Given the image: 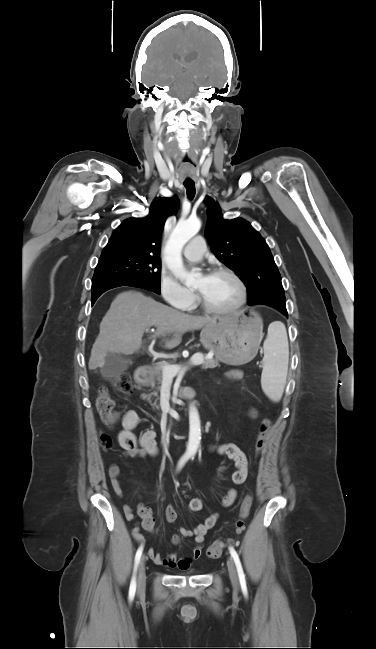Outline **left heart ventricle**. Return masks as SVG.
<instances>
[{"label":"left heart ventricle","instance_id":"1","mask_svg":"<svg viewBox=\"0 0 376 649\" xmlns=\"http://www.w3.org/2000/svg\"><path fill=\"white\" fill-rule=\"evenodd\" d=\"M195 289L214 308H228L239 298V288L227 274H209L198 278Z\"/></svg>","mask_w":376,"mask_h":649}]
</instances>
